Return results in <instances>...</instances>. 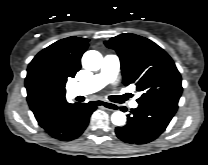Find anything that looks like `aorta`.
Wrapping results in <instances>:
<instances>
[{"label": "aorta", "mask_w": 208, "mask_h": 165, "mask_svg": "<svg viewBox=\"0 0 208 165\" xmlns=\"http://www.w3.org/2000/svg\"><path fill=\"white\" fill-rule=\"evenodd\" d=\"M103 57L100 52L95 50L86 51L82 57V65L90 71H97L101 68ZM111 121L116 126H123L126 122V116L122 111H115L111 115Z\"/></svg>", "instance_id": "aorta-1"}]
</instances>
